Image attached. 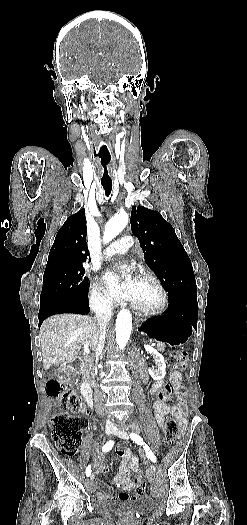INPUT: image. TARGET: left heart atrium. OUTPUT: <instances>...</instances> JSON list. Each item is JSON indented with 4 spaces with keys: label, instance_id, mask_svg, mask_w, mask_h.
I'll return each instance as SVG.
<instances>
[{
    "label": "left heart atrium",
    "instance_id": "1",
    "mask_svg": "<svg viewBox=\"0 0 247 525\" xmlns=\"http://www.w3.org/2000/svg\"><path fill=\"white\" fill-rule=\"evenodd\" d=\"M132 273V270L121 272L118 269L115 271L109 270L105 273V281L111 287L115 290L116 296L118 299H134L136 294L139 290V278L136 276H133L126 282L125 284H122L121 286H116V277L117 275H129Z\"/></svg>",
    "mask_w": 247,
    "mask_h": 525
}]
</instances>
